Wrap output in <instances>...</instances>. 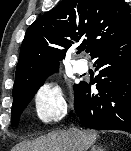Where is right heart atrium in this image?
I'll list each match as a JSON object with an SVG mask.
<instances>
[{"label":"right heart atrium","mask_w":131,"mask_h":151,"mask_svg":"<svg viewBox=\"0 0 131 151\" xmlns=\"http://www.w3.org/2000/svg\"><path fill=\"white\" fill-rule=\"evenodd\" d=\"M34 105L37 117L44 123L57 122L67 111V102L61 88L52 82L39 86Z\"/></svg>","instance_id":"obj_1"}]
</instances>
